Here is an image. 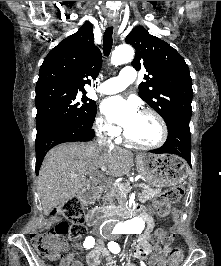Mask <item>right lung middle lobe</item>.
<instances>
[{"label":"right lung middle lobe","instance_id":"1","mask_svg":"<svg viewBox=\"0 0 221 266\" xmlns=\"http://www.w3.org/2000/svg\"><path fill=\"white\" fill-rule=\"evenodd\" d=\"M37 135L49 127L63 123H79L92 127L97 106L86 91L66 87L35 89Z\"/></svg>","mask_w":221,"mask_h":266}]
</instances>
